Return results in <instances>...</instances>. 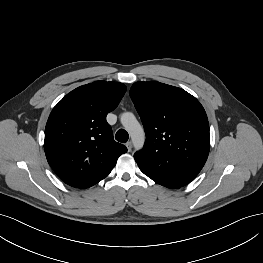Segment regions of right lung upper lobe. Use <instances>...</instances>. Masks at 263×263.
<instances>
[{"label":"right lung upper lobe","mask_w":263,"mask_h":263,"mask_svg":"<svg viewBox=\"0 0 263 263\" xmlns=\"http://www.w3.org/2000/svg\"><path fill=\"white\" fill-rule=\"evenodd\" d=\"M126 86L96 81L68 93L52 110L44 150L66 184L88 188L104 179L127 148L114 141L106 116L119 104Z\"/></svg>","instance_id":"1"}]
</instances>
